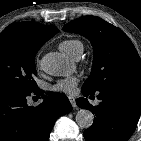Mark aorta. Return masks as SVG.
<instances>
[{"label":"aorta","instance_id":"aorta-1","mask_svg":"<svg viewBox=\"0 0 141 141\" xmlns=\"http://www.w3.org/2000/svg\"><path fill=\"white\" fill-rule=\"evenodd\" d=\"M41 68L52 76H67L73 70L71 63L55 52L47 53L42 57ZM75 119L79 127L89 128L93 124L94 115L87 109H80Z\"/></svg>","mask_w":141,"mask_h":141}]
</instances>
